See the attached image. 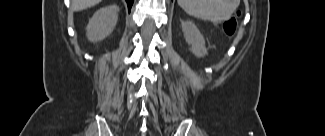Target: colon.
I'll list each match as a JSON object with an SVG mask.
<instances>
[{
    "label": "colon",
    "instance_id": "1",
    "mask_svg": "<svg viewBox=\"0 0 325 136\" xmlns=\"http://www.w3.org/2000/svg\"><path fill=\"white\" fill-rule=\"evenodd\" d=\"M236 27H237V22L234 18L226 21L224 24L225 31L230 34L235 32Z\"/></svg>",
    "mask_w": 325,
    "mask_h": 136
}]
</instances>
